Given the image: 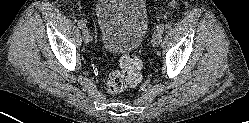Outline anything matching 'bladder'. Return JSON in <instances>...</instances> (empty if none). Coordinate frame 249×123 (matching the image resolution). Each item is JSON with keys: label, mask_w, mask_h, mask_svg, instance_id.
<instances>
[{"label": "bladder", "mask_w": 249, "mask_h": 123, "mask_svg": "<svg viewBox=\"0 0 249 123\" xmlns=\"http://www.w3.org/2000/svg\"><path fill=\"white\" fill-rule=\"evenodd\" d=\"M95 17L100 42L110 53H125L138 48L148 32L144 0H98Z\"/></svg>", "instance_id": "31cf9c89"}]
</instances>
